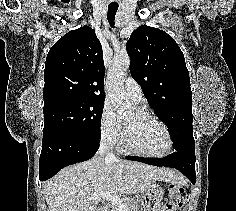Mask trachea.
<instances>
[{"mask_svg": "<svg viewBox=\"0 0 236 211\" xmlns=\"http://www.w3.org/2000/svg\"><path fill=\"white\" fill-rule=\"evenodd\" d=\"M118 10V6H109L108 7V13H107V19L111 27H114L115 25V15Z\"/></svg>", "mask_w": 236, "mask_h": 211, "instance_id": "3493384b", "label": "trachea"}]
</instances>
